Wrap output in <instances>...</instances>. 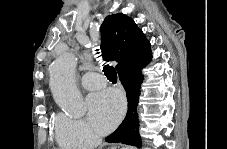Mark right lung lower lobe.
<instances>
[{
  "label": "right lung lower lobe",
  "mask_w": 227,
  "mask_h": 149,
  "mask_svg": "<svg viewBox=\"0 0 227 149\" xmlns=\"http://www.w3.org/2000/svg\"><path fill=\"white\" fill-rule=\"evenodd\" d=\"M150 60L134 64L118 72L120 81L126 90L128 99V111L126 117L118 129L110 136L106 137V142H115L129 144L136 147L141 146V137L139 134V120L137 114V104L140 95V85L143 75L141 70Z\"/></svg>",
  "instance_id": "right-lung-lower-lobe-1"
}]
</instances>
